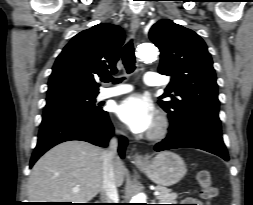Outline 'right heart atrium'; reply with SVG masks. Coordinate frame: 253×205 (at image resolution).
I'll return each instance as SVG.
<instances>
[{"label":"right heart atrium","mask_w":253,"mask_h":205,"mask_svg":"<svg viewBox=\"0 0 253 205\" xmlns=\"http://www.w3.org/2000/svg\"><path fill=\"white\" fill-rule=\"evenodd\" d=\"M116 132H117V133H121V132H122V130H121V129H119V128H117V129H116Z\"/></svg>","instance_id":"1"}]
</instances>
